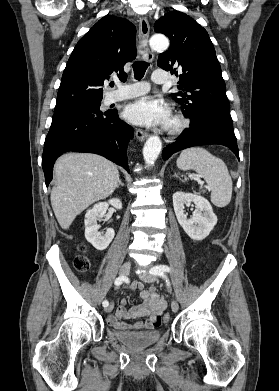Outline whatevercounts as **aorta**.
I'll return each instance as SVG.
<instances>
[{"label": "aorta", "instance_id": "1", "mask_svg": "<svg viewBox=\"0 0 279 391\" xmlns=\"http://www.w3.org/2000/svg\"><path fill=\"white\" fill-rule=\"evenodd\" d=\"M150 46L153 50H165L169 46L168 39L163 35H154L150 39ZM162 149V142L158 136H150L143 147L145 163L152 166L157 160Z\"/></svg>", "mask_w": 279, "mask_h": 391}]
</instances>
